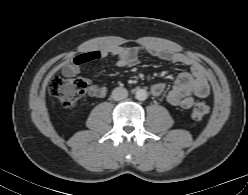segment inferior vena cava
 <instances>
[{"label": "inferior vena cava", "mask_w": 248, "mask_h": 195, "mask_svg": "<svg viewBox=\"0 0 248 195\" xmlns=\"http://www.w3.org/2000/svg\"><path fill=\"white\" fill-rule=\"evenodd\" d=\"M128 96V91L123 87H117L112 91V98L115 101H121L126 99Z\"/></svg>", "instance_id": "obj_1"}]
</instances>
